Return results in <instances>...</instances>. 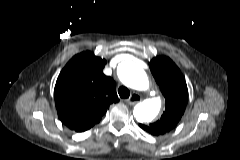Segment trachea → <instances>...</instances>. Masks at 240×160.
<instances>
[{"label":"trachea","instance_id":"3493384b","mask_svg":"<svg viewBox=\"0 0 240 160\" xmlns=\"http://www.w3.org/2000/svg\"><path fill=\"white\" fill-rule=\"evenodd\" d=\"M118 94L121 98L126 99L130 96V91L125 86H120Z\"/></svg>","mask_w":240,"mask_h":160}]
</instances>
